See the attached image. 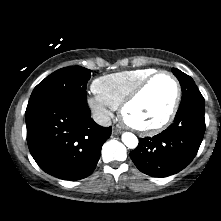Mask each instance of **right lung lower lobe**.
I'll list each match as a JSON object with an SVG mask.
<instances>
[{
    "label": "right lung lower lobe",
    "instance_id": "98d812e1",
    "mask_svg": "<svg viewBox=\"0 0 221 221\" xmlns=\"http://www.w3.org/2000/svg\"><path fill=\"white\" fill-rule=\"evenodd\" d=\"M87 102L50 101L25 112L27 143L39 167L69 181L89 176L111 135L90 117Z\"/></svg>",
    "mask_w": 221,
    "mask_h": 221
}]
</instances>
